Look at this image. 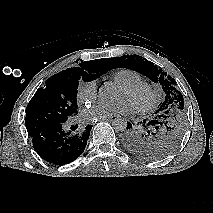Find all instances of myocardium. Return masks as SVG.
<instances>
[{
	"label": "myocardium",
	"mask_w": 213,
	"mask_h": 213,
	"mask_svg": "<svg viewBox=\"0 0 213 213\" xmlns=\"http://www.w3.org/2000/svg\"><path fill=\"white\" fill-rule=\"evenodd\" d=\"M121 89H123L129 93H135L140 90H145L148 93L149 99L145 105L132 106L133 110L138 114H144V113L152 111L157 104L158 99H157L156 89L150 83L141 81V82L134 83L131 85L122 86Z\"/></svg>",
	"instance_id": "f54148a6"
}]
</instances>
